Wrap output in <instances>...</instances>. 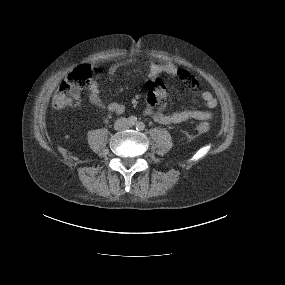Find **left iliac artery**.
Returning a JSON list of instances; mask_svg holds the SVG:
<instances>
[{
  "label": "left iliac artery",
  "instance_id": "1",
  "mask_svg": "<svg viewBox=\"0 0 285 285\" xmlns=\"http://www.w3.org/2000/svg\"><path fill=\"white\" fill-rule=\"evenodd\" d=\"M144 128H145V124H144L143 122H138V123L136 124V129H137L138 131L144 130Z\"/></svg>",
  "mask_w": 285,
  "mask_h": 285
}]
</instances>
